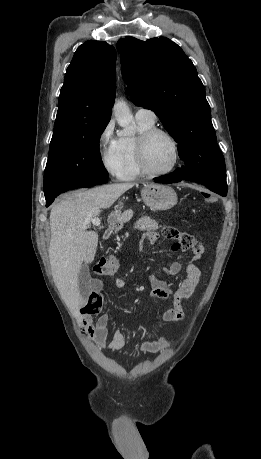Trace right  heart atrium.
<instances>
[{
	"label": "right heart atrium",
	"instance_id": "1",
	"mask_svg": "<svg viewBox=\"0 0 261 459\" xmlns=\"http://www.w3.org/2000/svg\"><path fill=\"white\" fill-rule=\"evenodd\" d=\"M100 161L105 170L118 177L122 162L118 149V139L115 136V126L113 121H109L101 129L97 140Z\"/></svg>",
	"mask_w": 261,
	"mask_h": 459
}]
</instances>
